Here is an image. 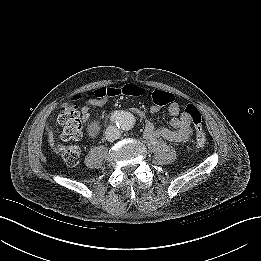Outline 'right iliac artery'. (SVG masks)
Instances as JSON below:
<instances>
[{"label":"right iliac artery","instance_id":"right-iliac-artery-1","mask_svg":"<svg viewBox=\"0 0 261 261\" xmlns=\"http://www.w3.org/2000/svg\"><path fill=\"white\" fill-rule=\"evenodd\" d=\"M110 120L112 122L118 124V122H119V113L116 112V113L112 114L111 117H110Z\"/></svg>","mask_w":261,"mask_h":261}]
</instances>
